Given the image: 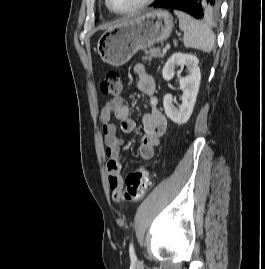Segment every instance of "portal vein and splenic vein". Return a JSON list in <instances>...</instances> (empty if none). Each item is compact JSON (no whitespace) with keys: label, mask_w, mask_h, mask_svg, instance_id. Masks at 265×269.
Here are the masks:
<instances>
[{"label":"portal vein and splenic vein","mask_w":265,"mask_h":269,"mask_svg":"<svg viewBox=\"0 0 265 269\" xmlns=\"http://www.w3.org/2000/svg\"><path fill=\"white\" fill-rule=\"evenodd\" d=\"M170 49V45L167 44L164 48H163V53L167 52V50Z\"/></svg>","instance_id":"portal-vein-and-splenic-vein-1"}]
</instances>
